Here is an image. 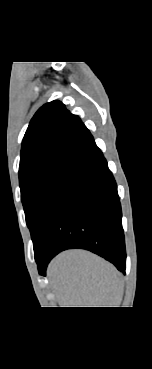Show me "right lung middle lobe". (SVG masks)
I'll list each match as a JSON object with an SVG mask.
<instances>
[{
	"instance_id": "obj_1",
	"label": "right lung middle lobe",
	"mask_w": 152,
	"mask_h": 369,
	"mask_svg": "<svg viewBox=\"0 0 152 369\" xmlns=\"http://www.w3.org/2000/svg\"><path fill=\"white\" fill-rule=\"evenodd\" d=\"M77 163L60 162L27 172L20 179L21 199L34 250L51 216L54 205Z\"/></svg>"
}]
</instances>
